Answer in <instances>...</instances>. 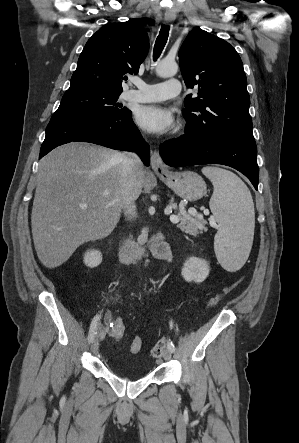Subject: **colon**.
Segmentation results:
<instances>
[{
  "mask_svg": "<svg viewBox=\"0 0 299 443\" xmlns=\"http://www.w3.org/2000/svg\"><path fill=\"white\" fill-rule=\"evenodd\" d=\"M235 285L236 284H233L229 288L225 289L221 295H218L215 298H213L210 304L214 305L222 295L229 293L235 287ZM126 328L127 326L125 320L123 318H116L111 322V326L109 327L108 330V335L115 340H120L125 336ZM168 342L169 341L166 338H162L159 341H157V343L152 349V355L154 357H160L163 351L166 349ZM141 348H142V338L140 336H135L130 342L129 350L132 354H137L138 352H140Z\"/></svg>",
  "mask_w": 299,
  "mask_h": 443,
  "instance_id": "colon-1",
  "label": "colon"
}]
</instances>
